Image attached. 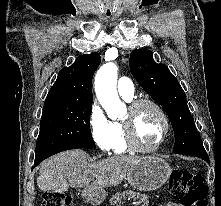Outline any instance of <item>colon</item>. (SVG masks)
Returning a JSON list of instances; mask_svg holds the SVG:
<instances>
[{
  "label": "colon",
  "mask_w": 221,
  "mask_h": 206,
  "mask_svg": "<svg viewBox=\"0 0 221 206\" xmlns=\"http://www.w3.org/2000/svg\"><path fill=\"white\" fill-rule=\"evenodd\" d=\"M170 194L182 206H207V189L202 177L185 169H175L171 174ZM71 196L65 193L44 194L42 206H70Z\"/></svg>",
  "instance_id": "5ec220e1"
}]
</instances>
